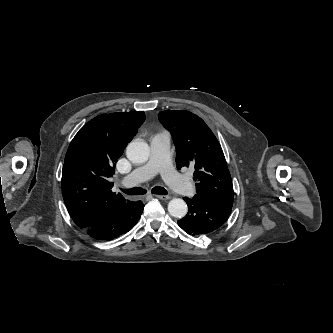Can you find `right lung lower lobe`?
<instances>
[{
    "mask_svg": "<svg viewBox=\"0 0 333 333\" xmlns=\"http://www.w3.org/2000/svg\"><path fill=\"white\" fill-rule=\"evenodd\" d=\"M129 203L127 209L113 214L93 227L82 229L92 238L101 241H109L125 234L138 222L144 208L141 201H130Z\"/></svg>",
    "mask_w": 333,
    "mask_h": 333,
    "instance_id": "obj_1",
    "label": "right lung lower lobe"
}]
</instances>
